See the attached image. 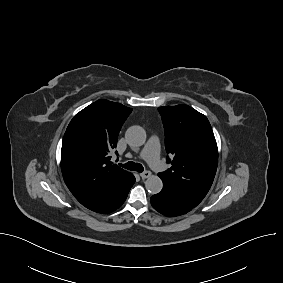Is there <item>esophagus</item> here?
Listing matches in <instances>:
<instances>
[{"label": "esophagus", "instance_id": "1", "mask_svg": "<svg viewBox=\"0 0 283 283\" xmlns=\"http://www.w3.org/2000/svg\"><path fill=\"white\" fill-rule=\"evenodd\" d=\"M150 176H151V172L150 171H144V172L140 173V177L142 179H146V178H148Z\"/></svg>", "mask_w": 283, "mask_h": 283}]
</instances>
